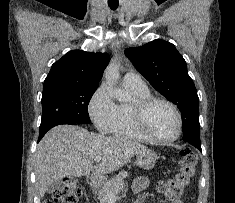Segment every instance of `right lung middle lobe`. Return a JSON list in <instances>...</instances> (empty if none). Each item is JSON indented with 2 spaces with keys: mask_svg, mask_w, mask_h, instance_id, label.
<instances>
[{
  "mask_svg": "<svg viewBox=\"0 0 235 203\" xmlns=\"http://www.w3.org/2000/svg\"><path fill=\"white\" fill-rule=\"evenodd\" d=\"M98 85L59 84L43 88L40 129L54 124L90 123L89 101Z\"/></svg>",
  "mask_w": 235,
  "mask_h": 203,
  "instance_id": "dd1d6c3e",
  "label": "right lung middle lobe"
}]
</instances>
